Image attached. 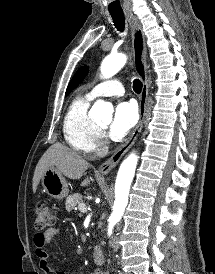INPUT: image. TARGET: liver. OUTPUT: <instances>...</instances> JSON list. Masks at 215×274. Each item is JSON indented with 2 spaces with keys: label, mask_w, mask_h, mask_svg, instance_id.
<instances>
[{
  "label": "liver",
  "mask_w": 215,
  "mask_h": 274,
  "mask_svg": "<svg viewBox=\"0 0 215 274\" xmlns=\"http://www.w3.org/2000/svg\"><path fill=\"white\" fill-rule=\"evenodd\" d=\"M89 166L79 154L60 143H55L43 154L36 166L32 183L33 192H36L42 175L50 167L70 179H80ZM89 182L90 179L87 178L81 185L86 186Z\"/></svg>",
  "instance_id": "6515ba94"
}]
</instances>
